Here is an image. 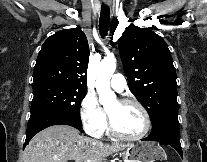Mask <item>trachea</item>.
I'll return each instance as SVG.
<instances>
[{"label":"trachea","mask_w":207,"mask_h":162,"mask_svg":"<svg viewBox=\"0 0 207 162\" xmlns=\"http://www.w3.org/2000/svg\"><path fill=\"white\" fill-rule=\"evenodd\" d=\"M110 26V10L104 4L101 6L99 31L102 37L107 35Z\"/></svg>","instance_id":"1"}]
</instances>
